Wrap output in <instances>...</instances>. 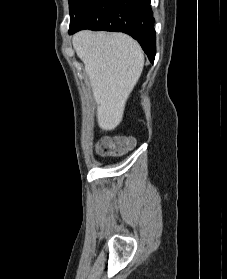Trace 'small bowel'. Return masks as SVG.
<instances>
[{
  "label": "small bowel",
  "instance_id": "obj_1",
  "mask_svg": "<svg viewBox=\"0 0 227 279\" xmlns=\"http://www.w3.org/2000/svg\"><path fill=\"white\" fill-rule=\"evenodd\" d=\"M117 140L122 141V140H127V138L126 137H119ZM106 141H108V140H106Z\"/></svg>",
  "mask_w": 227,
  "mask_h": 279
}]
</instances>
